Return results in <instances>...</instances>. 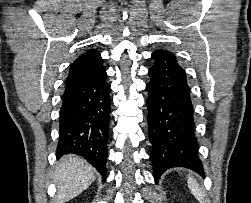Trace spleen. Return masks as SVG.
Returning a JSON list of instances; mask_svg holds the SVG:
<instances>
[{"label": "spleen", "mask_w": 251, "mask_h": 203, "mask_svg": "<svg viewBox=\"0 0 251 203\" xmlns=\"http://www.w3.org/2000/svg\"><path fill=\"white\" fill-rule=\"evenodd\" d=\"M188 187L191 190V193L195 196V198H197L201 201V203H203L204 195L198 187L196 180L190 176H188Z\"/></svg>", "instance_id": "spleen-1"}]
</instances>
